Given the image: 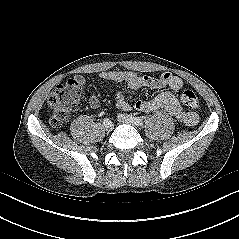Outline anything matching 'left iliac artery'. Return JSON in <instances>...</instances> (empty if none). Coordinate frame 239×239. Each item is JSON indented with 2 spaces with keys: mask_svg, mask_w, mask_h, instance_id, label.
<instances>
[{
  "mask_svg": "<svg viewBox=\"0 0 239 239\" xmlns=\"http://www.w3.org/2000/svg\"><path fill=\"white\" fill-rule=\"evenodd\" d=\"M131 118H133L138 125H143V123H144L143 119L140 117H134V116L132 117V115H131Z\"/></svg>",
  "mask_w": 239,
  "mask_h": 239,
  "instance_id": "44dca946",
  "label": "left iliac artery"
}]
</instances>
